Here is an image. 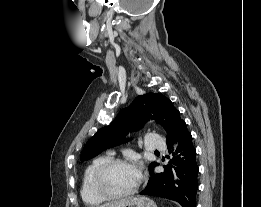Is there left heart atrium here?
I'll list each match as a JSON object with an SVG mask.
<instances>
[{
  "mask_svg": "<svg viewBox=\"0 0 261 207\" xmlns=\"http://www.w3.org/2000/svg\"><path fill=\"white\" fill-rule=\"evenodd\" d=\"M135 169H136L137 173L139 174V170L137 168H135Z\"/></svg>",
  "mask_w": 261,
  "mask_h": 207,
  "instance_id": "1",
  "label": "left heart atrium"
}]
</instances>
